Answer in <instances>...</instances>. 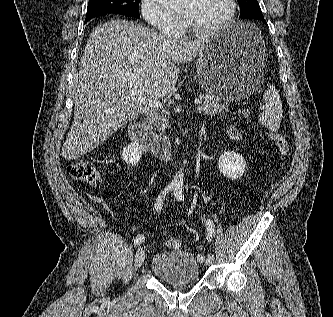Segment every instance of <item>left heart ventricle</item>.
Listing matches in <instances>:
<instances>
[{"mask_svg": "<svg viewBox=\"0 0 333 317\" xmlns=\"http://www.w3.org/2000/svg\"><path fill=\"white\" fill-rule=\"evenodd\" d=\"M227 0H183L179 14L199 28L218 23L227 13Z\"/></svg>", "mask_w": 333, "mask_h": 317, "instance_id": "b2bd125f", "label": "left heart ventricle"}]
</instances>
